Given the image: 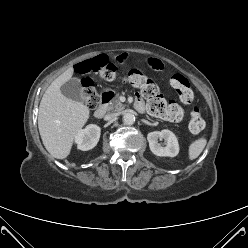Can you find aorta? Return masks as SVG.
<instances>
[{
    "instance_id": "1",
    "label": "aorta",
    "mask_w": 248,
    "mask_h": 248,
    "mask_svg": "<svg viewBox=\"0 0 248 248\" xmlns=\"http://www.w3.org/2000/svg\"><path fill=\"white\" fill-rule=\"evenodd\" d=\"M123 122L127 125H132L135 122V116L131 112H127L123 115Z\"/></svg>"
}]
</instances>
